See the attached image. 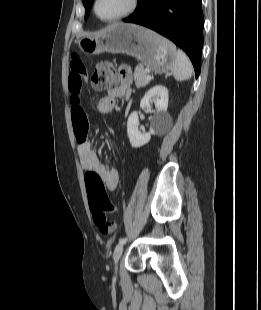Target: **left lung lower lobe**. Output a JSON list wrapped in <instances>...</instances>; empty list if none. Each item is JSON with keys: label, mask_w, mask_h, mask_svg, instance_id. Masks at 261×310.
Listing matches in <instances>:
<instances>
[{"label": "left lung lower lobe", "mask_w": 261, "mask_h": 310, "mask_svg": "<svg viewBox=\"0 0 261 310\" xmlns=\"http://www.w3.org/2000/svg\"><path fill=\"white\" fill-rule=\"evenodd\" d=\"M124 22L143 25L172 40L187 53L199 76L204 25L201 0H138L135 12Z\"/></svg>", "instance_id": "left-lung-lower-lobe-1"}]
</instances>
